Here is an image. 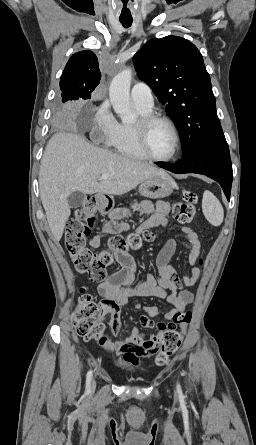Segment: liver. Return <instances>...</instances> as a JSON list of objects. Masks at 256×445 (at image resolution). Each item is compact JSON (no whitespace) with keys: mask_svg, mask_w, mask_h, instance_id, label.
Instances as JSON below:
<instances>
[{"mask_svg":"<svg viewBox=\"0 0 256 445\" xmlns=\"http://www.w3.org/2000/svg\"><path fill=\"white\" fill-rule=\"evenodd\" d=\"M102 174L110 177L101 180ZM168 176L165 171L91 145L73 132H59L48 141L39 172V188L47 221L59 242L71 211L72 192L123 195L144 180Z\"/></svg>","mask_w":256,"mask_h":445,"instance_id":"1","label":"liver"}]
</instances>
